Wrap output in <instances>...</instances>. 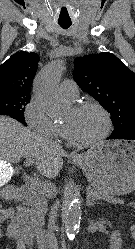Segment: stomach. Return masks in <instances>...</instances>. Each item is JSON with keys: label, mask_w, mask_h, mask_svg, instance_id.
<instances>
[{"label": "stomach", "mask_w": 135, "mask_h": 249, "mask_svg": "<svg viewBox=\"0 0 135 249\" xmlns=\"http://www.w3.org/2000/svg\"><path fill=\"white\" fill-rule=\"evenodd\" d=\"M76 163L98 191L125 195L135 190V142H103L90 148Z\"/></svg>", "instance_id": "obj_1"}]
</instances>
